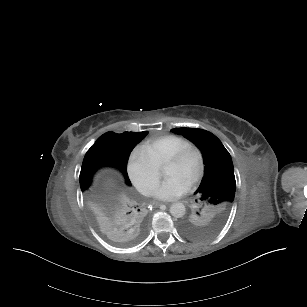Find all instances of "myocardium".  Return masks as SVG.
Returning a JSON list of instances; mask_svg holds the SVG:
<instances>
[{
  "label": "myocardium",
  "mask_w": 307,
  "mask_h": 307,
  "mask_svg": "<svg viewBox=\"0 0 307 307\" xmlns=\"http://www.w3.org/2000/svg\"><path fill=\"white\" fill-rule=\"evenodd\" d=\"M193 150H197L199 152L201 163L199 171L190 179L189 181L190 185H193L198 181H200L206 173L208 162H207V154L203 146L195 142H191L189 145L184 146L177 152L166 157V161L179 163L183 161L186 158V156Z\"/></svg>",
  "instance_id": "myocardium-1"
}]
</instances>
